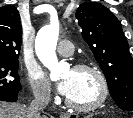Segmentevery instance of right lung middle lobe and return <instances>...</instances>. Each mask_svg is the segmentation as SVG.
<instances>
[{
  "label": "right lung middle lobe",
  "mask_w": 133,
  "mask_h": 118,
  "mask_svg": "<svg viewBox=\"0 0 133 118\" xmlns=\"http://www.w3.org/2000/svg\"><path fill=\"white\" fill-rule=\"evenodd\" d=\"M18 61L0 60V93H10L21 88Z\"/></svg>",
  "instance_id": "right-lung-middle-lobe-1"
}]
</instances>
